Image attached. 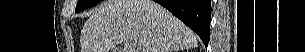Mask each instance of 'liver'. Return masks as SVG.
<instances>
[{"label": "liver", "instance_id": "1", "mask_svg": "<svg viewBox=\"0 0 305 52\" xmlns=\"http://www.w3.org/2000/svg\"><path fill=\"white\" fill-rule=\"evenodd\" d=\"M119 43L118 52H177L197 47L198 38L152 0H106L82 28L81 52H116Z\"/></svg>", "mask_w": 305, "mask_h": 52}]
</instances>
